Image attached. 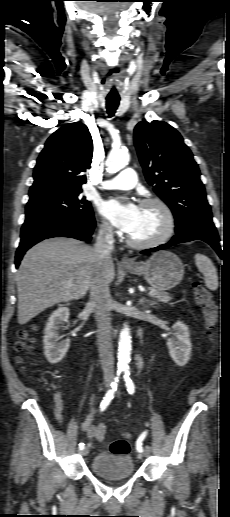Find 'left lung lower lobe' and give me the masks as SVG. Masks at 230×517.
<instances>
[{
    "instance_id": "obj_1",
    "label": "left lung lower lobe",
    "mask_w": 230,
    "mask_h": 517,
    "mask_svg": "<svg viewBox=\"0 0 230 517\" xmlns=\"http://www.w3.org/2000/svg\"><path fill=\"white\" fill-rule=\"evenodd\" d=\"M193 240H202L208 243L214 248L218 255L222 257V249L219 245V237L217 234L216 227L214 226L212 221L202 224L200 226H195L190 231H187L185 233L176 234L169 243L165 245H160L155 248L143 250L141 253L154 252L165 249L172 245H176L178 243L190 242Z\"/></svg>"
}]
</instances>
